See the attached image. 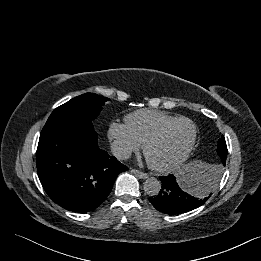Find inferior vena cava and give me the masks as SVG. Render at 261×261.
<instances>
[{
  "label": "inferior vena cava",
  "mask_w": 261,
  "mask_h": 261,
  "mask_svg": "<svg viewBox=\"0 0 261 261\" xmlns=\"http://www.w3.org/2000/svg\"><path fill=\"white\" fill-rule=\"evenodd\" d=\"M111 152L116 158L121 160H126L131 155V151L127 147L118 144H113L111 146Z\"/></svg>",
  "instance_id": "obj_1"
}]
</instances>
